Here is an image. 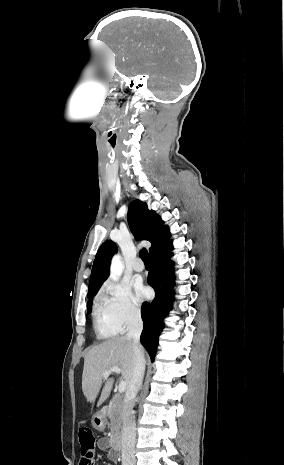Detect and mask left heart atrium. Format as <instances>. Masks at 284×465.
Returning <instances> with one entry per match:
<instances>
[{"instance_id":"left-heart-atrium-1","label":"left heart atrium","mask_w":284,"mask_h":465,"mask_svg":"<svg viewBox=\"0 0 284 465\" xmlns=\"http://www.w3.org/2000/svg\"><path fill=\"white\" fill-rule=\"evenodd\" d=\"M133 297L137 303H140L149 297V291L147 288L143 287L142 285L137 284L134 287Z\"/></svg>"}]
</instances>
